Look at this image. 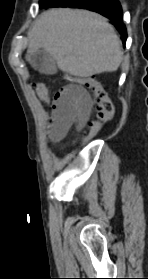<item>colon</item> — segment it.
<instances>
[{
	"label": "colon",
	"instance_id": "5ec220e1",
	"mask_svg": "<svg viewBox=\"0 0 148 279\" xmlns=\"http://www.w3.org/2000/svg\"><path fill=\"white\" fill-rule=\"evenodd\" d=\"M67 80L71 84H76L81 87L89 89L94 96L95 106L97 110V119L91 122L87 135L96 133L106 122L110 121L115 113V107L111 101L107 91L103 84L94 76L90 77H69ZM33 87L37 95L44 101L50 102L55 93L52 92L51 88L44 83L33 84Z\"/></svg>",
	"mask_w": 148,
	"mask_h": 279
}]
</instances>
